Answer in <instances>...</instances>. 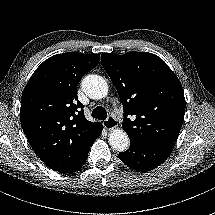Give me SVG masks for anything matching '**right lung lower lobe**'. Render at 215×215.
<instances>
[{"label": "right lung lower lobe", "mask_w": 215, "mask_h": 215, "mask_svg": "<svg viewBox=\"0 0 215 215\" xmlns=\"http://www.w3.org/2000/svg\"><path fill=\"white\" fill-rule=\"evenodd\" d=\"M103 129V126L101 123H97L96 126H94L88 133L87 138L85 141L82 142V149L80 150L81 156L78 158V161L74 164H67L65 166L61 165H54V166H48L54 171H58L60 173H72L78 171L83 164L85 163L87 159V155L89 152V149L95 139L101 134Z\"/></svg>", "instance_id": "obj_1"}]
</instances>
